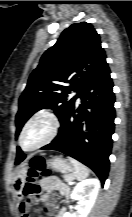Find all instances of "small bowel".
Instances as JSON below:
<instances>
[{"label": "small bowel", "instance_id": "1", "mask_svg": "<svg viewBox=\"0 0 132 217\" xmlns=\"http://www.w3.org/2000/svg\"><path fill=\"white\" fill-rule=\"evenodd\" d=\"M41 187L46 192L43 196L42 200L45 203V210L48 214H54L57 211V206L54 203L53 199L50 197L49 193L52 191H56L62 197L68 198L70 196V188L63 183L56 176H48L41 180ZM31 202L29 200L22 201L19 204V211L22 217H30L29 208ZM56 217H60L57 215Z\"/></svg>", "mask_w": 132, "mask_h": 217}]
</instances>
